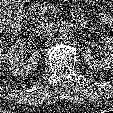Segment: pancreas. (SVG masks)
I'll use <instances>...</instances> for the list:
<instances>
[{
  "label": "pancreas",
  "instance_id": "pancreas-1",
  "mask_svg": "<svg viewBox=\"0 0 113 113\" xmlns=\"http://www.w3.org/2000/svg\"><path fill=\"white\" fill-rule=\"evenodd\" d=\"M45 12L44 5L41 3H34L29 7L30 19L34 24H39L48 19Z\"/></svg>",
  "mask_w": 113,
  "mask_h": 113
}]
</instances>
